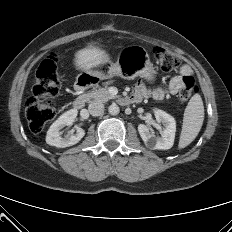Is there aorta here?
I'll return each instance as SVG.
<instances>
[{
	"label": "aorta",
	"instance_id": "762f6f07",
	"mask_svg": "<svg viewBox=\"0 0 232 232\" xmlns=\"http://www.w3.org/2000/svg\"><path fill=\"white\" fill-rule=\"evenodd\" d=\"M108 112H109L111 115H118L119 112H120L119 106L116 105L115 103L111 104V105L108 107Z\"/></svg>",
	"mask_w": 232,
	"mask_h": 232
}]
</instances>
